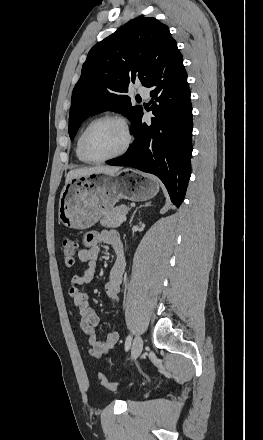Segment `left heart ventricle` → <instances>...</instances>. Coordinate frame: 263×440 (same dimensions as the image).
Here are the masks:
<instances>
[{"label":"left heart ventricle","mask_w":263,"mask_h":440,"mask_svg":"<svg viewBox=\"0 0 263 440\" xmlns=\"http://www.w3.org/2000/svg\"><path fill=\"white\" fill-rule=\"evenodd\" d=\"M125 140L122 128L115 122L105 121L91 131L87 147L94 157H104L118 151Z\"/></svg>","instance_id":"1"}]
</instances>
